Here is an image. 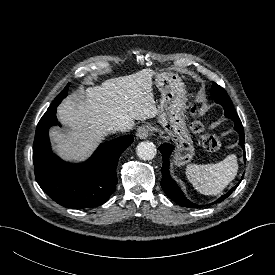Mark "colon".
Here are the masks:
<instances>
[{"instance_id": "1", "label": "colon", "mask_w": 275, "mask_h": 275, "mask_svg": "<svg viewBox=\"0 0 275 275\" xmlns=\"http://www.w3.org/2000/svg\"><path fill=\"white\" fill-rule=\"evenodd\" d=\"M194 115L195 112L192 111ZM193 130L200 135L201 144L204 149L208 151H216L220 148L221 142L219 137L216 134L209 133L206 129V126L200 122L195 121L192 125Z\"/></svg>"}]
</instances>
